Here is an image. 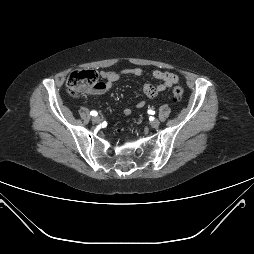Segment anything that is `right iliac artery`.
<instances>
[{
  "label": "right iliac artery",
  "instance_id": "1",
  "mask_svg": "<svg viewBox=\"0 0 254 254\" xmlns=\"http://www.w3.org/2000/svg\"><path fill=\"white\" fill-rule=\"evenodd\" d=\"M90 114H91L92 116H96V115H97V112H96V111H92Z\"/></svg>",
  "mask_w": 254,
  "mask_h": 254
}]
</instances>
